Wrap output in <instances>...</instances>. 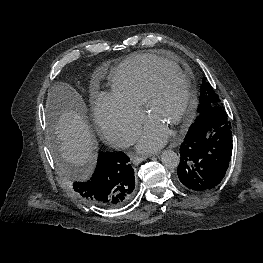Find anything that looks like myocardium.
<instances>
[{
	"label": "myocardium",
	"mask_w": 263,
	"mask_h": 263,
	"mask_svg": "<svg viewBox=\"0 0 263 263\" xmlns=\"http://www.w3.org/2000/svg\"><path fill=\"white\" fill-rule=\"evenodd\" d=\"M165 76H174L180 79L186 88V102L183 111L174 124V131L179 132L188 125L194 116L197 107V95L193 88L191 80L183 74L178 68L161 67L158 68L151 76L144 99L142 102V108L146 116H149L151 106L156 94L157 87L161 79Z\"/></svg>",
	"instance_id": "f54148a6"
}]
</instances>
